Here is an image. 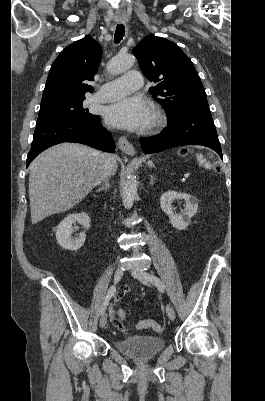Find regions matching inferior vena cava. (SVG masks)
<instances>
[{
    "label": "inferior vena cava",
    "instance_id": "inferior-vena-cava-1",
    "mask_svg": "<svg viewBox=\"0 0 265 401\" xmlns=\"http://www.w3.org/2000/svg\"><path fill=\"white\" fill-rule=\"evenodd\" d=\"M113 162H114V156H111V154H105V168L103 170V174L100 180H105V178H108L110 174H113L112 172Z\"/></svg>",
    "mask_w": 265,
    "mask_h": 401
}]
</instances>
